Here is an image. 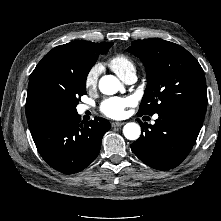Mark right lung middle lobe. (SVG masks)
Wrapping results in <instances>:
<instances>
[{
  "instance_id": "obj_1",
  "label": "right lung middle lobe",
  "mask_w": 221,
  "mask_h": 221,
  "mask_svg": "<svg viewBox=\"0 0 221 221\" xmlns=\"http://www.w3.org/2000/svg\"><path fill=\"white\" fill-rule=\"evenodd\" d=\"M113 45L112 42L94 44L79 50L58 70L56 81L47 99L48 110L59 109L75 113L80 97L86 94V78L91 67Z\"/></svg>"
}]
</instances>
